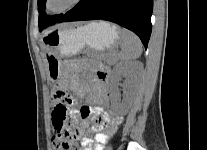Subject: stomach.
Wrapping results in <instances>:
<instances>
[{
  "instance_id": "obj_1",
  "label": "stomach",
  "mask_w": 207,
  "mask_h": 150,
  "mask_svg": "<svg viewBox=\"0 0 207 150\" xmlns=\"http://www.w3.org/2000/svg\"><path fill=\"white\" fill-rule=\"evenodd\" d=\"M120 32L116 25L106 21L88 24H65L45 32L41 39L51 80L59 84L64 73L62 59H68L87 48L91 54L112 51L118 43Z\"/></svg>"
}]
</instances>
